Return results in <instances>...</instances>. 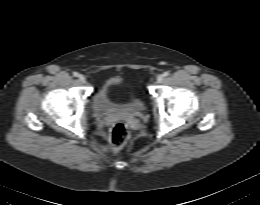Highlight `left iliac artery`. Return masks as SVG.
Masks as SVG:
<instances>
[{
  "label": "left iliac artery",
  "mask_w": 260,
  "mask_h": 205,
  "mask_svg": "<svg viewBox=\"0 0 260 205\" xmlns=\"http://www.w3.org/2000/svg\"><path fill=\"white\" fill-rule=\"evenodd\" d=\"M163 76H165V77L169 76V72L168 71L164 72Z\"/></svg>",
  "instance_id": "left-iliac-artery-1"
}]
</instances>
